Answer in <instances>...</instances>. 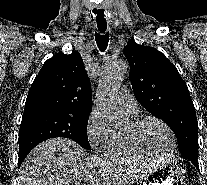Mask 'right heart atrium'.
<instances>
[{
    "label": "right heart atrium",
    "instance_id": "obj_1",
    "mask_svg": "<svg viewBox=\"0 0 207 185\" xmlns=\"http://www.w3.org/2000/svg\"><path fill=\"white\" fill-rule=\"evenodd\" d=\"M113 130L109 125L107 117L97 108H94L86 123V137L92 148L104 145Z\"/></svg>",
    "mask_w": 207,
    "mask_h": 185
}]
</instances>
